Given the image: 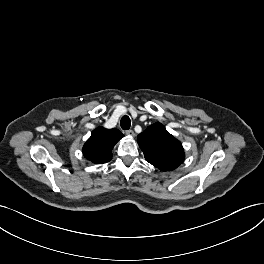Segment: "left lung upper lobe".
<instances>
[{
  "instance_id": "1",
  "label": "left lung upper lobe",
  "mask_w": 264,
  "mask_h": 264,
  "mask_svg": "<svg viewBox=\"0 0 264 264\" xmlns=\"http://www.w3.org/2000/svg\"><path fill=\"white\" fill-rule=\"evenodd\" d=\"M137 141L145 159L160 170H174L184 161L182 144L159 122L140 133Z\"/></svg>"
}]
</instances>
